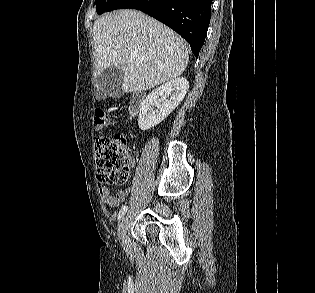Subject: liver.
<instances>
[{
  "label": "liver",
  "mask_w": 315,
  "mask_h": 293,
  "mask_svg": "<svg viewBox=\"0 0 315 293\" xmlns=\"http://www.w3.org/2000/svg\"><path fill=\"white\" fill-rule=\"evenodd\" d=\"M92 32L96 76L108 67L120 68L125 93H138L171 81L189 62L188 45L182 37L136 10L103 15L94 22Z\"/></svg>",
  "instance_id": "1"
}]
</instances>
